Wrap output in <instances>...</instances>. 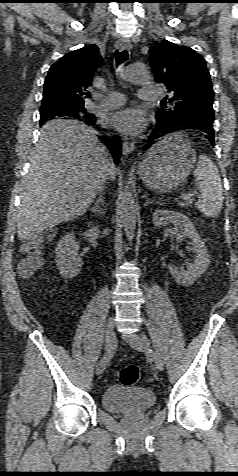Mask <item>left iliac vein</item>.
Segmentation results:
<instances>
[{"label": "left iliac vein", "mask_w": 238, "mask_h": 476, "mask_svg": "<svg viewBox=\"0 0 238 476\" xmlns=\"http://www.w3.org/2000/svg\"><path fill=\"white\" fill-rule=\"evenodd\" d=\"M123 338L135 350L145 352L154 361L156 368L159 371H163L164 364L161 357L152 349H150L145 341L137 333L123 334Z\"/></svg>", "instance_id": "left-iliac-vein-1"}]
</instances>
